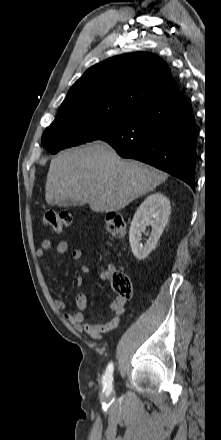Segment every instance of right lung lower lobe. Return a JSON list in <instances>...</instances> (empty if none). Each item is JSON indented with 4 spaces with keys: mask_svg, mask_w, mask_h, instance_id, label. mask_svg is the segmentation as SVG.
<instances>
[{
    "mask_svg": "<svg viewBox=\"0 0 221 440\" xmlns=\"http://www.w3.org/2000/svg\"><path fill=\"white\" fill-rule=\"evenodd\" d=\"M100 140L121 157L159 168L194 190L195 124L189 101L179 90L137 108Z\"/></svg>",
    "mask_w": 221,
    "mask_h": 440,
    "instance_id": "98d812e1",
    "label": "right lung lower lobe"
}]
</instances>
